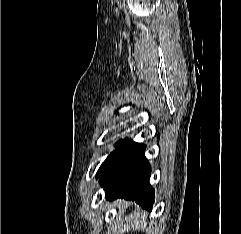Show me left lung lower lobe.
Listing matches in <instances>:
<instances>
[{"label": "left lung lower lobe", "mask_w": 241, "mask_h": 234, "mask_svg": "<svg viewBox=\"0 0 241 234\" xmlns=\"http://www.w3.org/2000/svg\"><path fill=\"white\" fill-rule=\"evenodd\" d=\"M101 165L97 179L107 199L125 198L151 210L154 191L149 184L150 165L144 156L145 145L120 141Z\"/></svg>", "instance_id": "1"}]
</instances>
